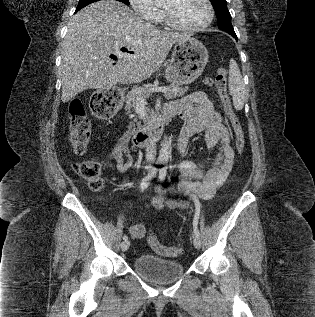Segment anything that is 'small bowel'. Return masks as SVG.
I'll list each match as a JSON object with an SVG mask.
<instances>
[{
    "label": "small bowel",
    "instance_id": "obj_1",
    "mask_svg": "<svg viewBox=\"0 0 315 317\" xmlns=\"http://www.w3.org/2000/svg\"><path fill=\"white\" fill-rule=\"evenodd\" d=\"M165 108L175 111L184 121L177 143L178 153L182 156L189 139L197 134L205 133L206 157L195 162L180 160L177 168L181 179L175 187H155V195L147 207L155 210L184 209L187 201L166 199L167 193H183L186 196H197L210 199L229 176L234 163L232 136L223 123V118L210 98L204 92H194L169 103ZM129 136L124 135L110 150L107 158L115 163L119 172H126L132 166V157L128 147ZM146 232L143 222L130 226L129 233L134 239H141Z\"/></svg>",
    "mask_w": 315,
    "mask_h": 317
}]
</instances>
